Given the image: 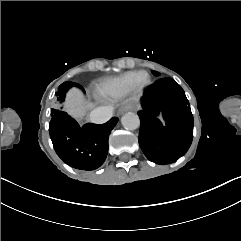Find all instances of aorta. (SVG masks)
<instances>
[{"mask_svg":"<svg viewBox=\"0 0 241 241\" xmlns=\"http://www.w3.org/2000/svg\"><path fill=\"white\" fill-rule=\"evenodd\" d=\"M121 123L126 130H135L140 126V118L137 114L128 112L122 116Z\"/></svg>","mask_w":241,"mask_h":241,"instance_id":"obj_1","label":"aorta"}]
</instances>
